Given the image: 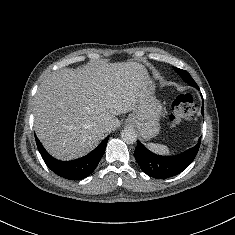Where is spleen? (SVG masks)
<instances>
[{"label":"spleen","instance_id":"3e777b00","mask_svg":"<svg viewBox=\"0 0 235 235\" xmlns=\"http://www.w3.org/2000/svg\"><path fill=\"white\" fill-rule=\"evenodd\" d=\"M147 147L151 151L158 153V154H169L170 153L168 147L165 145H162V144L148 143Z\"/></svg>","mask_w":235,"mask_h":235}]
</instances>
